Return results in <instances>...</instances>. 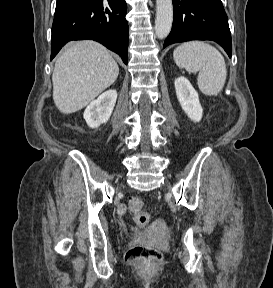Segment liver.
Returning <instances> with one entry per match:
<instances>
[{"instance_id":"6515ba94","label":"liver","mask_w":273,"mask_h":288,"mask_svg":"<svg viewBox=\"0 0 273 288\" xmlns=\"http://www.w3.org/2000/svg\"><path fill=\"white\" fill-rule=\"evenodd\" d=\"M119 67L109 51L94 41L70 43L55 62L53 100L63 114L77 112L112 85Z\"/></svg>"}]
</instances>
